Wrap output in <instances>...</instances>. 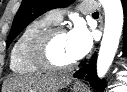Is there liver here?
I'll use <instances>...</instances> for the list:
<instances>
[{
  "label": "liver",
  "instance_id": "obj_1",
  "mask_svg": "<svg viewBox=\"0 0 127 92\" xmlns=\"http://www.w3.org/2000/svg\"><path fill=\"white\" fill-rule=\"evenodd\" d=\"M70 83L68 77L53 75L16 76L4 82L2 92H58Z\"/></svg>",
  "mask_w": 127,
  "mask_h": 92
}]
</instances>
